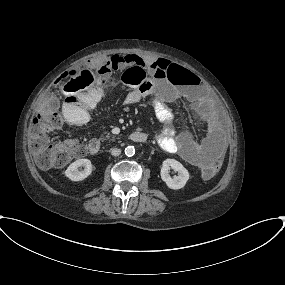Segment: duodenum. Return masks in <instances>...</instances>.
Masks as SVG:
<instances>
[{
    "label": "duodenum",
    "mask_w": 285,
    "mask_h": 285,
    "mask_svg": "<svg viewBox=\"0 0 285 285\" xmlns=\"http://www.w3.org/2000/svg\"><path fill=\"white\" fill-rule=\"evenodd\" d=\"M130 139L133 142L143 143L147 140V136L145 133L141 131H135L131 133ZM87 150L90 155L97 156L101 152V142L98 139H92L89 141Z\"/></svg>",
    "instance_id": "1"
}]
</instances>
